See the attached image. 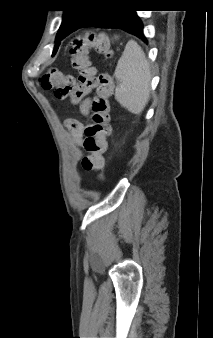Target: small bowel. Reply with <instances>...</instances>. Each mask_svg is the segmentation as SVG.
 <instances>
[{
	"label": "small bowel",
	"instance_id": "1",
	"mask_svg": "<svg viewBox=\"0 0 213 338\" xmlns=\"http://www.w3.org/2000/svg\"><path fill=\"white\" fill-rule=\"evenodd\" d=\"M89 99H85L80 105V112L83 115H88L90 113ZM73 143L78 148H83L84 144V125L81 122H77V127L70 129L69 131Z\"/></svg>",
	"mask_w": 213,
	"mask_h": 338
}]
</instances>
